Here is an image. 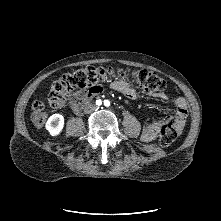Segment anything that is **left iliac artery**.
<instances>
[{
  "instance_id": "1",
  "label": "left iliac artery",
  "mask_w": 221,
  "mask_h": 221,
  "mask_svg": "<svg viewBox=\"0 0 221 221\" xmlns=\"http://www.w3.org/2000/svg\"><path fill=\"white\" fill-rule=\"evenodd\" d=\"M104 105H105V106H109V105H110V102H109L108 100H105V101H104Z\"/></svg>"
}]
</instances>
